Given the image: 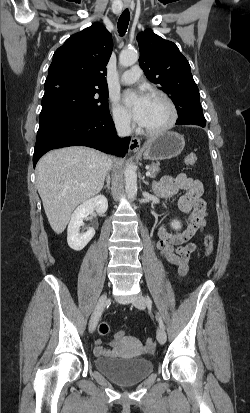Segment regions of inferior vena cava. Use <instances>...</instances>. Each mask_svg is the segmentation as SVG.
Listing matches in <instances>:
<instances>
[{
	"instance_id": "602c4592",
	"label": "inferior vena cava",
	"mask_w": 250,
	"mask_h": 413,
	"mask_svg": "<svg viewBox=\"0 0 250 413\" xmlns=\"http://www.w3.org/2000/svg\"><path fill=\"white\" fill-rule=\"evenodd\" d=\"M115 127L119 137L129 136L131 133L130 120L126 117H120L115 120ZM112 168V159L108 158L107 171Z\"/></svg>"
}]
</instances>
